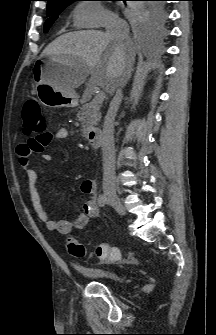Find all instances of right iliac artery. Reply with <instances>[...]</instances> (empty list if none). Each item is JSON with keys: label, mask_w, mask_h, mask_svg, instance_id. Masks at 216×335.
<instances>
[{"label": "right iliac artery", "mask_w": 216, "mask_h": 335, "mask_svg": "<svg viewBox=\"0 0 216 335\" xmlns=\"http://www.w3.org/2000/svg\"><path fill=\"white\" fill-rule=\"evenodd\" d=\"M106 203H107V201H106L105 196L102 195V194L99 195V197H98V204H99V206L104 207L106 205Z\"/></svg>", "instance_id": "right-iliac-artery-1"}]
</instances>
